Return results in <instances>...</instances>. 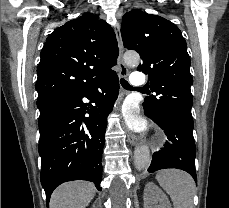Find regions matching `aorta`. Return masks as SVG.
I'll use <instances>...</instances> for the list:
<instances>
[{
    "label": "aorta",
    "instance_id": "762f6f07",
    "mask_svg": "<svg viewBox=\"0 0 229 208\" xmlns=\"http://www.w3.org/2000/svg\"><path fill=\"white\" fill-rule=\"evenodd\" d=\"M124 61L128 66L135 67L139 64L140 57L137 53H126ZM134 164L138 170L146 169L150 164V151L146 145H138L134 151Z\"/></svg>",
    "mask_w": 229,
    "mask_h": 208
}]
</instances>
